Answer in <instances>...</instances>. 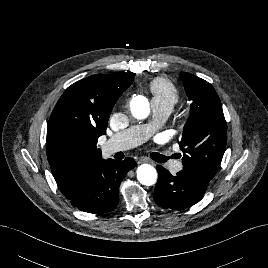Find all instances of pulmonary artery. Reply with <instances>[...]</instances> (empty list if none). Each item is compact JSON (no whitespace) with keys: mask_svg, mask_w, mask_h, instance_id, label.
<instances>
[{"mask_svg":"<svg viewBox=\"0 0 268 268\" xmlns=\"http://www.w3.org/2000/svg\"><path fill=\"white\" fill-rule=\"evenodd\" d=\"M151 106L155 116V119L151 124L132 126L125 131L113 134L108 139L103 149L108 153H114L130 149L148 139L158 126L166 121L172 110L169 106L160 104L154 100L151 101ZM171 169L173 171H178L181 169V164L172 161Z\"/></svg>","mask_w":268,"mask_h":268,"instance_id":"obj_1","label":"pulmonary artery"}]
</instances>
